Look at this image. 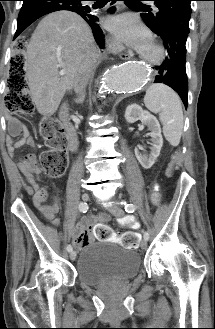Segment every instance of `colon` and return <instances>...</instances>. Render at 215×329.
Returning a JSON list of instances; mask_svg holds the SVG:
<instances>
[{
    "instance_id": "1",
    "label": "colon",
    "mask_w": 215,
    "mask_h": 329,
    "mask_svg": "<svg viewBox=\"0 0 215 329\" xmlns=\"http://www.w3.org/2000/svg\"><path fill=\"white\" fill-rule=\"evenodd\" d=\"M16 44L13 63L8 79L6 104L9 110L25 116L33 112L34 105L30 98L26 76L24 73L22 51L26 44H34V37H15ZM40 135L45 140L48 149L40 155V164L46 175L50 178L61 177L67 168L68 158L66 153L67 137L58 120L45 118L40 124ZM128 225L129 221H124ZM129 231H140V224H129ZM139 235L134 232H125L121 243L129 249H136Z\"/></svg>"
}]
</instances>
